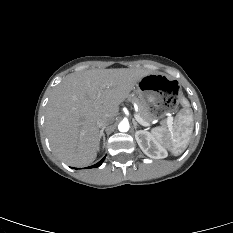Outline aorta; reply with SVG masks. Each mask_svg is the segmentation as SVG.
I'll use <instances>...</instances> for the list:
<instances>
[{"instance_id": "obj_1", "label": "aorta", "mask_w": 233, "mask_h": 233, "mask_svg": "<svg viewBox=\"0 0 233 233\" xmlns=\"http://www.w3.org/2000/svg\"><path fill=\"white\" fill-rule=\"evenodd\" d=\"M130 128L128 121H121L118 125V130L120 132H127Z\"/></svg>"}]
</instances>
